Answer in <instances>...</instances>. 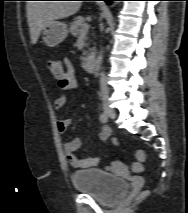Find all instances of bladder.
<instances>
[{"mask_svg": "<svg viewBox=\"0 0 188 213\" xmlns=\"http://www.w3.org/2000/svg\"><path fill=\"white\" fill-rule=\"evenodd\" d=\"M73 186L94 197L100 203L112 204L128 190V182L100 169H84L73 172Z\"/></svg>", "mask_w": 188, "mask_h": 213, "instance_id": "1", "label": "bladder"}]
</instances>
